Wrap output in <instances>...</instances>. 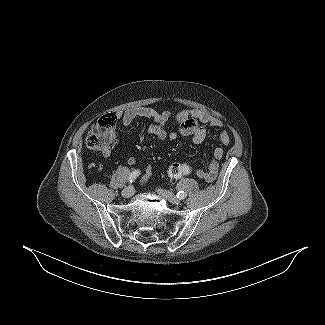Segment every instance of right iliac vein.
<instances>
[{"label":"right iliac vein","instance_id":"obj_1","mask_svg":"<svg viewBox=\"0 0 325 325\" xmlns=\"http://www.w3.org/2000/svg\"><path fill=\"white\" fill-rule=\"evenodd\" d=\"M134 194V188L133 186H128L126 187L123 191H122V196L124 198H130L132 197Z\"/></svg>","mask_w":325,"mask_h":325}]
</instances>
